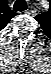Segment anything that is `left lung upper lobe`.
<instances>
[{
  "label": "left lung upper lobe",
  "instance_id": "1",
  "mask_svg": "<svg viewBox=\"0 0 51 74\" xmlns=\"http://www.w3.org/2000/svg\"><path fill=\"white\" fill-rule=\"evenodd\" d=\"M43 17H46V14L45 13H43V14H40V15H37L36 17H35V19L40 23V24H42L43 23Z\"/></svg>",
  "mask_w": 51,
  "mask_h": 74
}]
</instances>
